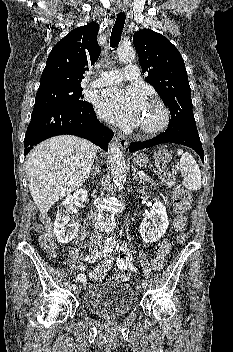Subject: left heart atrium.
<instances>
[{"label":"left heart atrium","instance_id":"obj_1","mask_svg":"<svg viewBox=\"0 0 233 352\" xmlns=\"http://www.w3.org/2000/svg\"><path fill=\"white\" fill-rule=\"evenodd\" d=\"M146 101L136 87H112L102 90L96 97L98 113L110 122L124 128L139 124Z\"/></svg>","mask_w":233,"mask_h":352}]
</instances>
